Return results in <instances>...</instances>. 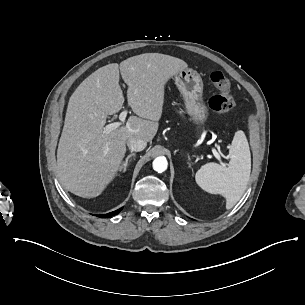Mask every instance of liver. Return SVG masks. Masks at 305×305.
<instances>
[{
	"instance_id": "liver-1",
	"label": "liver",
	"mask_w": 305,
	"mask_h": 305,
	"mask_svg": "<svg viewBox=\"0 0 305 305\" xmlns=\"http://www.w3.org/2000/svg\"><path fill=\"white\" fill-rule=\"evenodd\" d=\"M188 64L171 56L146 53L106 65L83 81L72 95L57 151V175L69 192L100 196L122 168L129 138L151 142L163 113L168 82ZM120 74L128 86V102L139 117L105 132L121 109Z\"/></svg>"
}]
</instances>
